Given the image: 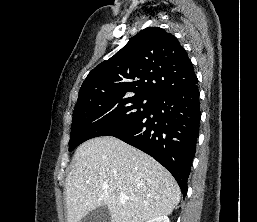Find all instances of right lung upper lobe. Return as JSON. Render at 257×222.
I'll return each mask as SVG.
<instances>
[{
    "label": "right lung upper lobe",
    "mask_w": 257,
    "mask_h": 222,
    "mask_svg": "<svg viewBox=\"0 0 257 222\" xmlns=\"http://www.w3.org/2000/svg\"><path fill=\"white\" fill-rule=\"evenodd\" d=\"M196 80L193 64L178 39L162 28L148 27L88 74L77 104L102 96L156 99Z\"/></svg>",
    "instance_id": "right-lung-upper-lobe-1"
}]
</instances>
